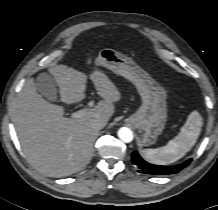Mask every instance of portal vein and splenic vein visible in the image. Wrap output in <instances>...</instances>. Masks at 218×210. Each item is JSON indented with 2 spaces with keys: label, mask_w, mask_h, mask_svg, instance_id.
I'll use <instances>...</instances> for the list:
<instances>
[{
  "label": "portal vein and splenic vein",
  "mask_w": 218,
  "mask_h": 210,
  "mask_svg": "<svg viewBox=\"0 0 218 210\" xmlns=\"http://www.w3.org/2000/svg\"><path fill=\"white\" fill-rule=\"evenodd\" d=\"M89 107L93 106V102H89L88 104ZM88 108H83L77 112L72 113V118L76 119V118H81L82 116H84L86 114V112L88 111Z\"/></svg>",
  "instance_id": "obj_1"
}]
</instances>
